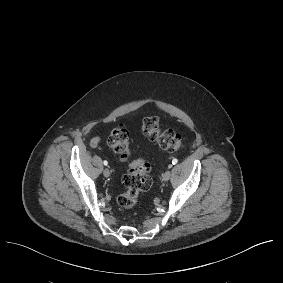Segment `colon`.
<instances>
[{
	"instance_id": "1",
	"label": "colon",
	"mask_w": 283,
	"mask_h": 283,
	"mask_svg": "<svg viewBox=\"0 0 283 283\" xmlns=\"http://www.w3.org/2000/svg\"><path fill=\"white\" fill-rule=\"evenodd\" d=\"M141 131L145 137L164 150L177 152L184 148L182 136L173 129H162L156 116L145 117ZM108 145L121 160L129 162L128 171L122 179L125 190L118 195L117 203L122 209L131 210L137 204L139 194L152 186L151 166L145 158L131 159L133 149L129 131L124 124H118L111 130Z\"/></svg>"
}]
</instances>
